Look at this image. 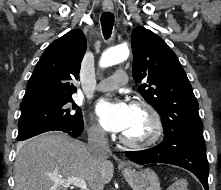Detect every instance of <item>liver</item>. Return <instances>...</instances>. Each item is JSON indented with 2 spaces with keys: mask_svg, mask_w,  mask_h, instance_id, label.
Masks as SVG:
<instances>
[{
  "mask_svg": "<svg viewBox=\"0 0 221 190\" xmlns=\"http://www.w3.org/2000/svg\"><path fill=\"white\" fill-rule=\"evenodd\" d=\"M107 158L95 159L81 141L61 133H45L18 146L14 163V190H68L53 178L77 177L91 190H103L113 178Z\"/></svg>",
  "mask_w": 221,
  "mask_h": 190,
  "instance_id": "1",
  "label": "liver"
}]
</instances>
